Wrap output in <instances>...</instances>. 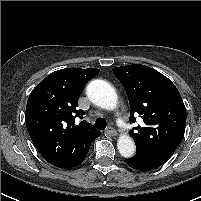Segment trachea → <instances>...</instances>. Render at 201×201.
<instances>
[{
	"mask_svg": "<svg viewBox=\"0 0 201 201\" xmlns=\"http://www.w3.org/2000/svg\"><path fill=\"white\" fill-rule=\"evenodd\" d=\"M94 127L100 130H104L107 127V122L105 121L104 118H98L94 123Z\"/></svg>",
	"mask_w": 201,
	"mask_h": 201,
	"instance_id": "1",
	"label": "trachea"
}]
</instances>
